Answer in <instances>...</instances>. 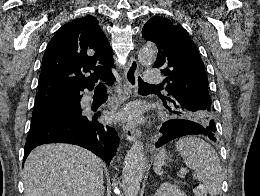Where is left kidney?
Returning <instances> with one entry per match:
<instances>
[{
	"label": "left kidney",
	"instance_id": "5707ae66",
	"mask_svg": "<svg viewBox=\"0 0 260 196\" xmlns=\"http://www.w3.org/2000/svg\"><path fill=\"white\" fill-rule=\"evenodd\" d=\"M154 196H186V194H184L183 190H180L178 186L164 182V184H160Z\"/></svg>",
	"mask_w": 260,
	"mask_h": 196
}]
</instances>
